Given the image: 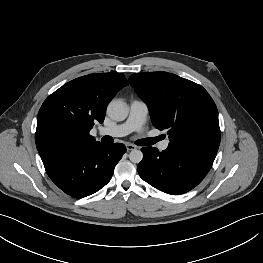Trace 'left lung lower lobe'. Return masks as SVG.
I'll return each mask as SVG.
<instances>
[{
    "instance_id": "obj_1",
    "label": "left lung lower lobe",
    "mask_w": 263,
    "mask_h": 263,
    "mask_svg": "<svg viewBox=\"0 0 263 263\" xmlns=\"http://www.w3.org/2000/svg\"><path fill=\"white\" fill-rule=\"evenodd\" d=\"M140 177L154 188L171 195L183 194L206 176L217 152L168 145L159 152L155 147L141 149Z\"/></svg>"
}]
</instances>
